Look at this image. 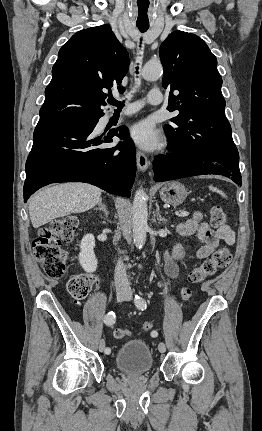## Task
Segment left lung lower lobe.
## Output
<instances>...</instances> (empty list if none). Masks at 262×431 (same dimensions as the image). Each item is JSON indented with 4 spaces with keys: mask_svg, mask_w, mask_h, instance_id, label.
<instances>
[{
    "mask_svg": "<svg viewBox=\"0 0 262 431\" xmlns=\"http://www.w3.org/2000/svg\"><path fill=\"white\" fill-rule=\"evenodd\" d=\"M157 156L153 161L154 180L169 181L184 177L215 174L232 177L241 185L239 154L235 144L227 145L217 155L178 152Z\"/></svg>",
    "mask_w": 262,
    "mask_h": 431,
    "instance_id": "left-lung-lower-lobe-1",
    "label": "left lung lower lobe"
}]
</instances>
